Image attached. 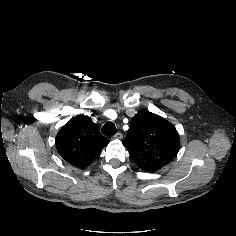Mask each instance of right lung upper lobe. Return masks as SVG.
<instances>
[{"label": "right lung upper lobe", "instance_id": "1", "mask_svg": "<svg viewBox=\"0 0 236 236\" xmlns=\"http://www.w3.org/2000/svg\"><path fill=\"white\" fill-rule=\"evenodd\" d=\"M108 142V138L100 134L98 124L84 115L72 118L56 136L58 153L68 163L80 169L92 163Z\"/></svg>", "mask_w": 236, "mask_h": 236}]
</instances>
